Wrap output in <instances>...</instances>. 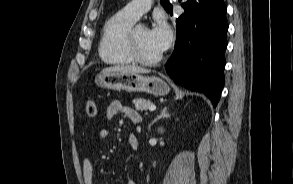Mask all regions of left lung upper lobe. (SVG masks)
Wrapping results in <instances>:
<instances>
[{
	"instance_id": "left-lung-upper-lobe-1",
	"label": "left lung upper lobe",
	"mask_w": 293,
	"mask_h": 184,
	"mask_svg": "<svg viewBox=\"0 0 293 184\" xmlns=\"http://www.w3.org/2000/svg\"><path fill=\"white\" fill-rule=\"evenodd\" d=\"M161 4L163 5V7L165 8L166 11L170 8V6L166 0H161Z\"/></svg>"
}]
</instances>
